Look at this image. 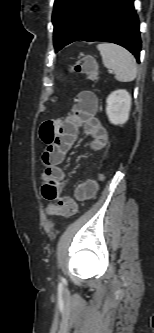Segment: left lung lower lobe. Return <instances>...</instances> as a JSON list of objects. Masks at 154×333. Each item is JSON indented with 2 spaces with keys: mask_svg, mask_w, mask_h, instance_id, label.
I'll return each mask as SVG.
<instances>
[{
  "mask_svg": "<svg viewBox=\"0 0 154 333\" xmlns=\"http://www.w3.org/2000/svg\"><path fill=\"white\" fill-rule=\"evenodd\" d=\"M133 1L97 0L65 45L80 40L112 42L128 49L139 62L141 40Z\"/></svg>",
  "mask_w": 154,
  "mask_h": 333,
  "instance_id": "0a47b994",
  "label": "left lung lower lobe"
}]
</instances>
